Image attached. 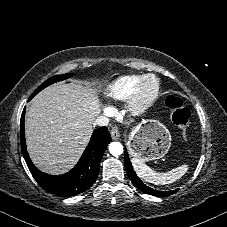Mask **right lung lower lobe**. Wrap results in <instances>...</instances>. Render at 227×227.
Here are the masks:
<instances>
[{
	"mask_svg": "<svg viewBox=\"0 0 227 227\" xmlns=\"http://www.w3.org/2000/svg\"><path fill=\"white\" fill-rule=\"evenodd\" d=\"M30 100V99H29ZM25 109L21 116V151L27 166L38 184L47 192L60 196H73L87 190L97 179L100 161L111 137L107 127L96 129L79 162L68 173L53 176L38 170L29 158L24 130Z\"/></svg>",
	"mask_w": 227,
	"mask_h": 227,
	"instance_id": "obj_1",
	"label": "right lung lower lobe"
}]
</instances>
